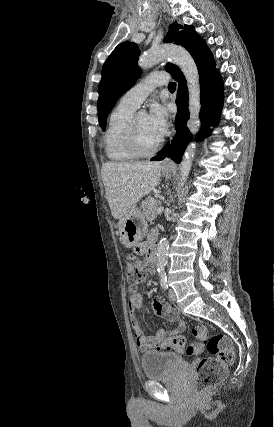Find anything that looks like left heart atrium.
Instances as JSON below:
<instances>
[{"mask_svg":"<svg viewBox=\"0 0 274 427\" xmlns=\"http://www.w3.org/2000/svg\"><path fill=\"white\" fill-rule=\"evenodd\" d=\"M148 125L151 131L162 138L168 129V113L164 106L155 104L147 114Z\"/></svg>","mask_w":274,"mask_h":427,"instance_id":"left-heart-atrium-1","label":"left heart atrium"}]
</instances>
